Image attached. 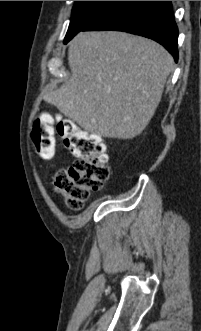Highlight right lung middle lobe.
I'll return each mask as SVG.
<instances>
[{
    "label": "right lung middle lobe",
    "instance_id": "obj_1",
    "mask_svg": "<svg viewBox=\"0 0 201 331\" xmlns=\"http://www.w3.org/2000/svg\"><path fill=\"white\" fill-rule=\"evenodd\" d=\"M113 2L114 1H76L64 43L66 44L71 40Z\"/></svg>",
    "mask_w": 201,
    "mask_h": 331
}]
</instances>
